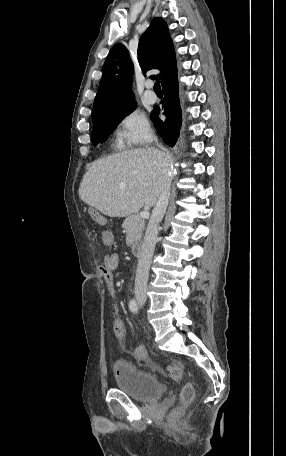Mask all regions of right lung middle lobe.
Instances as JSON below:
<instances>
[{"label":"right lung middle lobe","mask_w":286,"mask_h":456,"mask_svg":"<svg viewBox=\"0 0 286 456\" xmlns=\"http://www.w3.org/2000/svg\"><path fill=\"white\" fill-rule=\"evenodd\" d=\"M135 109V104L110 110L93 120L94 128L91 141L95 146L106 141L116 126Z\"/></svg>","instance_id":"1"}]
</instances>
